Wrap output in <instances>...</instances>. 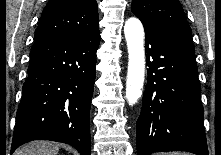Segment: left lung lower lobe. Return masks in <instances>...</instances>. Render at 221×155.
<instances>
[{
  "instance_id": "1",
  "label": "left lung lower lobe",
  "mask_w": 221,
  "mask_h": 155,
  "mask_svg": "<svg viewBox=\"0 0 221 155\" xmlns=\"http://www.w3.org/2000/svg\"><path fill=\"white\" fill-rule=\"evenodd\" d=\"M143 25L149 69L137 120V155L178 150L208 155L194 46Z\"/></svg>"
}]
</instances>
